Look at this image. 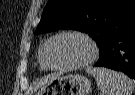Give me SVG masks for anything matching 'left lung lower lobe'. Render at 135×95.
I'll return each instance as SVG.
<instances>
[{
  "label": "left lung lower lobe",
  "mask_w": 135,
  "mask_h": 95,
  "mask_svg": "<svg viewBox=\"0 0 135 95\" xmlns=\"http://www.w3.org/2000/svg\"><path fill=\"white\" fill-rule=\"evenodd\" d=\"M94 66L121 71L135 79V18L110 34L99 48Z\"/></svg>",
  "instance_id": "obj_1"
}]
</instances>
